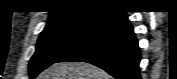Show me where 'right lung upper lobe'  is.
<instances>
[{"label": "right lung upper lobe", "instance_id": "right-lung-upper-lobe-1", "mask_svg": "<svg viewBox=\"0 0 177 79\" xmlns=\"http://www.w3.org/2000/svg\"><path fill=\"white\" fill-rule=\"evenodd\" d=\"M61 3L57 10L50 12L48 24L90 16H103L114 10L101 0H70Z\"/></svg>", "mask_w": 177, "mask_h": 79}]
</instances>
